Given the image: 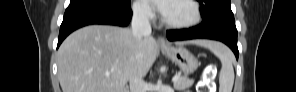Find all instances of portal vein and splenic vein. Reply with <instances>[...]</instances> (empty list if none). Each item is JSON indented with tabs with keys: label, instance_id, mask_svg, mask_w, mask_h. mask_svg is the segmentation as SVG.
Here are the masks:
<instances>
[{
	"label": "portal vein and splenic vein",
	"instance_id": "18ae733b",
	"mask_svg": "<svg viewBox=\"0 0 296 92\" xmlns=\"http://www.w3.org/2000/svg\"><path fill=\"white\" fill-rule=\"evenodd\" d=\"M109 74H110V72H107V73H106V75H109ZM178 80H179V76H177V75L174 76V77L172 78V82H173V83H175V82L178 81Z\"/></svg>",
	"mask_w": 296,
	"mask_h": 92
}]
</instances>
